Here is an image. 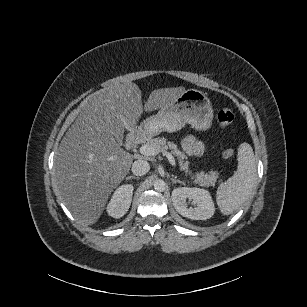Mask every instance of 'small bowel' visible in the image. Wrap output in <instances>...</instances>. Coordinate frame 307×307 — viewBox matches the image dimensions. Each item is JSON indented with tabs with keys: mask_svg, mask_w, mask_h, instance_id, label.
<instances>
[{
	"mask_svg": "<svg viewBox=\"0 0 307 307\" xmlns=\"http://www.w3.org/2000/svg\"><path fill=\"white\" fill-rule=\"evenodd\" d=\"M182 146L189 156H199L203 152V146L193 136H187L182 141Z\"/></svg>",
	"mask_w": 307,
	"mask_h": 307,
	"instance_id": "1",
	"label": "small bowel"
}]
</instances>
